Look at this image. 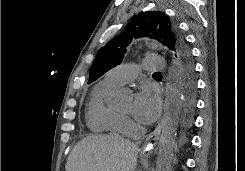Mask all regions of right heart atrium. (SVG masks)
Listing matches in <instances>:
<instances>
[{
    "mask_svg": "<svg viewBox=\"0 0 245 171\" xmlns=\"http://www.w3.org/2000/svg\"><path fill=\"white\" fill-rule=\"evenodd\" d=\"M132 128H133V123L131 122V120L126 116H121L119 130L121 132L127 133L130 132Z\"/></svg>",
    "mask_w": 245,
    "mask_h": 171,
    "instance_id": "1",
    "label": "right heart atrium"
}]
</instances>
